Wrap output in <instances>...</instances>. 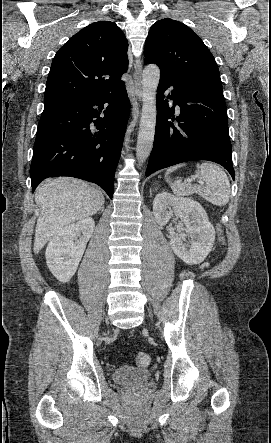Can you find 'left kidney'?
I'll list each match as a JSON object with an SVG mask.
<instances>
[{"label": "left kidney", "mask_w": 271, "mask_h": 443, "mask_svg": "<svg viewBox=\"0 0 271 443\" xmlns=\"http://www.w3.org/2000/svg\"><path fill=\"white\" fill-rule=\"evenodd\" d=\"M153 214L158 225H166L171 216L180 218L188 233H176L171 237L170 245L174 253L188 265L204 261L214 245L215 229L198 202L162 192L154 198ZM186 235L191 237L190 243H184Z\"/></svg>", "instance_id": "5707ae66"}]
</instances>
